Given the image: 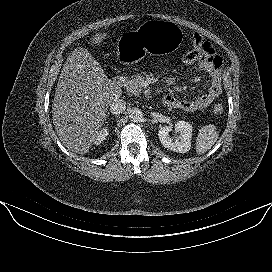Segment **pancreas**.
Here are the masks:
<instances>
[{
    "label": "pancreas",
    "instance_id": "1",
    "mask_svg": "<svg viewBox=\"0 0 272 272\" xmlns=\"http://www.w3.org/2000/svg\"><path fill=\"white\" fill-rule=\"evenodd\" d=\"M144 79L140 74L132 76L130 79H126L124 87L129 93L133 95H139L142 91L141 81Z\"/></svg>",
    "mask_w": 272,
    "mask_h": 272
}]
</instances>
